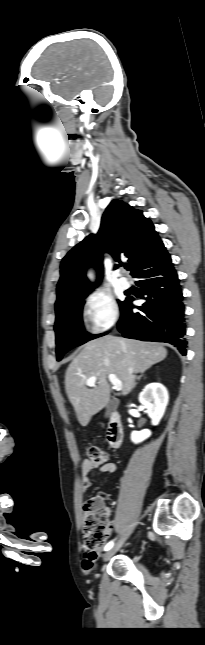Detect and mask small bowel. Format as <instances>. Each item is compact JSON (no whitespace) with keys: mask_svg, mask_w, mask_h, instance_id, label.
Wrapping results in <instances>:
<instances>
[{"mask_svg":"<svg viewBox=\"0 0 205 645\" xmlns=\"http://www.w3.org/2000/svg\"><path fill=\"white\" fill-rule=\"evenodd\" d=\"M95 469H99V471L103 473H114L116 471V465L114 463L108 462L102 466L95 467L88 460H84L81 465V486L83 490H87L91 487L92 483L89 474ZM106 512L107 515L110 514V511L108 509L106 510ZM99 551L100 549L94 553L86 552L83 562L88 568L93 566V563L95 562Z\"/></svg>","mask_w":205,"mask_h":645,"instance_id":"obj_1","label":"small bowel"}]
</instances>
